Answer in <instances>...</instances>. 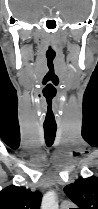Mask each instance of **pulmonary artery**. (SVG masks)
Segmentation results:
<instances>
[{
	"instance_id": "pulmonary-artery-1",
	"label": "pulmonary artery",
	"mask_w": 98,
	"mask_h": 209,
	"mask_svg": "<svg viewBox=\"0 0 98 209\" xmlns=\"http://www.w3.org/2000/svg\"><path fill=\"white\" fill-rule=\"evenodd\" d=\"M71 203L69 202V201H64V202H62L61 203V209H70V207H71Z\"/></svg>"
}]
</instances>
